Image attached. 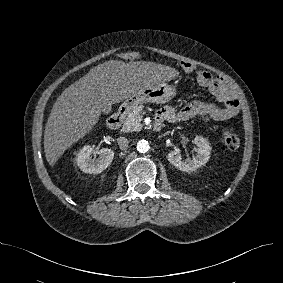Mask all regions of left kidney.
<instances>
[{
    "label": "left kidney",
    "instance_id": "obj_1",
    "mask_svg": "<svg viewBox=\"0 0 283 283\" xmlns=\"http://www.w3.org/2000/svg\"><path fill=\"white\" fill-rule=\"evenodd\" d=\"M196 146L198 147L197 154L191 159L183 160L179 150L170 151L167 159L177 169L184 172H192L197 168L205 165L211 154V146L208 141L201 137L196 136L194 139Z\"/></svg>",
    "mask_w": 283,
    "mask_h": 283
}]
</instances>
